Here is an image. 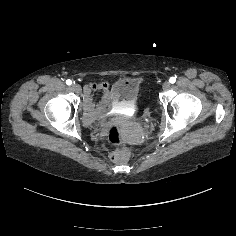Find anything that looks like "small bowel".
Here are the masks:
<instances>
[{
	"label": "small bowel",
	"instance_id": "c3829d8e",
	"mask_svg": "<svg viewBox=\"0 0 236 236\" xmlns=\"http://www.w3.org/2000/svg\"><path fill=\"white\" fill-rule=\"evenodd\" d=\"M109 84L107 82H103L101 84L95 85V84H91L90 88L91 89H103L106 90L108 88Z\"/></svg>",
	"mask_w": 236,
	"mask_h": 236
}]
</instances>
